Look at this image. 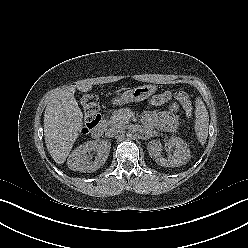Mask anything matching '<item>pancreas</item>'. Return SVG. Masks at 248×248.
I'll return each instance as SVG.
<instances>
[{
	"mask_svg": "<svg viewBox=\"0 0 248 248\" xmlns=\"http://www.w3.org/2000/svg\"><path fill=\"white\" fill-rule=\"evenodd\" d=\"M130 112V109L127 108L114 111L110 119L107 121L108 126L119 128L124 127L130 122V117L128 116Z\"/></svg>",
	"mask_w": 248,
	"mask_h": 248,
	"instance_id": "pancreas-1",
	"label": "pancreas"
}]
</instances>
